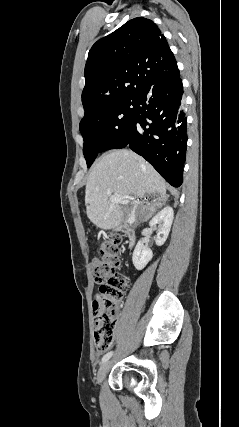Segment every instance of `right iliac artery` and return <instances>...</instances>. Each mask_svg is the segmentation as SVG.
Here are the masks:
<instances>
[{
  "mask_svg": "<svg viewBox=\"0 0 239 427\" xmlns=\"http://www.w3.org/2000/svg\"><path fill=\"white\" fill-rule=\"evenodd\" d=\"M113 352H108L107 354H105L102 358V363L106 362L107 360L110 359V357L112 356Z\"/></svg>",
  "mask_w": 239,
  "mask_h": 427,
  "instance_id": "82829eb1",
  "label": "right iliac artery"
}]
</instances>
